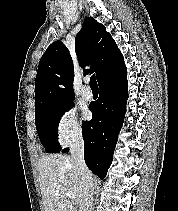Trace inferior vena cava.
Wrapping results in <instances>:
<instances>
[{"mask_svg":"<svg viewBox=\"0 0 178 211\" xmlns=\"http://www.w3.org/2000/svg\"><path fill=\"white\" fill-rule=\"evenodd\" d=\"M70 152L83 184V201L80 204V211H92L93 203V178L84 160V141L81 133L74 135L70 144Z\"/></svg>","mask_w":178,"mask_h":211,"instance_id":"obj_1","label":"inferior vena cava"}]
</instances>
